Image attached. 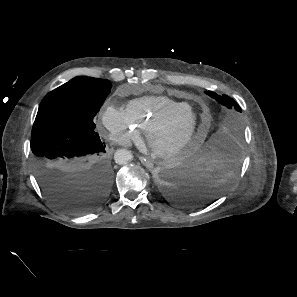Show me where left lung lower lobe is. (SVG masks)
Masks as SVG:
<instances>
[{"label": "left lung lower lobe", "mask_w": 297, "mask_h": 297, "mask_svg": "<svg viewBox=\"0 0 297 297\" xmlns=\"http://www.w3.org/2000/svg\"><path fill=\"white\" fill-rule=\"evenodd\" d=\"M215 145L222 165L229 164L236 149L218 140ZM207 151L187 154L159 170L155 179L163 195L173 203L194 207L209 203L221 196L230 186L228 167L204 162Z\"/></svg>", "instance_id": "1"}]
</instances>
